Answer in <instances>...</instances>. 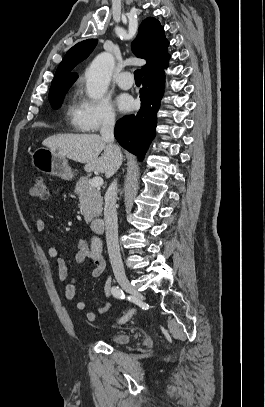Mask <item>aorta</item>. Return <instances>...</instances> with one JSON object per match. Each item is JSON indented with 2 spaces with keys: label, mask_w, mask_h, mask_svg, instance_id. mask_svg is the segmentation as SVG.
Returning <instances> with one entry per match:
<instances>
[{
  "label": "aorta",
  "mask_w": 265,
  "mask_h": 407,
  "mask_svg": "<svg viewBox=\"0 0 265 407\" xmlns=\"http://www.w3.org/2000/svg\"><path fill=\"white\" fill-rule=\"evenodd\" d=\"M114 65V57L107 52L99 54L92 61L85 71L86 91L90 98L100 99L106 93Z\"/></svg>",
  "instance_id": "aorta-1"
}]
</instances>
